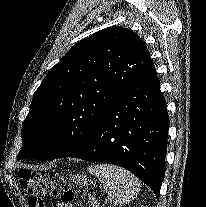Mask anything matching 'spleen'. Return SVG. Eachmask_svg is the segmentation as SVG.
<instances>
[{"label": "spleen", "instance_id": "1", "mask_svg": "<svg viewBox=\"0 0 206 207\" xmlns=\"http://www.w3.org/2000/svg\"><path fill=\"white\" fill-rule=\"evenodd\" d=\"M88 171L103 184L110 203L115 206L129 204L138 194L139 182L130 172L108 164L90 166Z\"/></svg>", "mask_w": 206, "mask_h": 207}]
</instances>
